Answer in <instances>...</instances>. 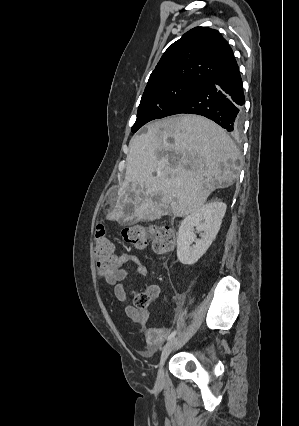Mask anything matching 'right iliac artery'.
Listing matches in <instances>:
<instances>
[{
    "instance_id": "1",
    "label": "right iliac artery",
    "mask_w": 299,
    "mask_h": 426,
    "mask_svg": "<svg viewBox=\"0 0 299 426\" xmlns=\"http://www.w3.org/2000/svg\"><path fill=\"white\" fill-rule=\"evenodd\" d=\"M176 335V331H173L172 333L169 334L167 341L171 340L172 338H174V336Z\"/></svg>"
}]
</instances>
